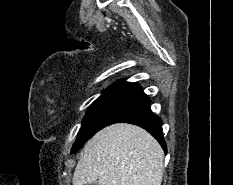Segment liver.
<instances>
[{
  "label": "liver",
  "mask_w": 233,
  "mask_h": 185,
  "mask_svg": "<svg viewBox=\"0 0 233 185\" xmlns=\"http://www.w3.org/2000/svg\"><path fill=\"white\" fill-rule=\"evenodd\" d=\"M164 152L144 129L120 123L97 132L85 145L74 185H161Z\"/></svg>",
  "instance_id": "6515ba94"
}]
</instances>
